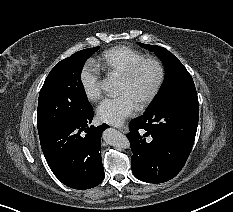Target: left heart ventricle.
Wrapping results in <instances>:
<instances>
[{"label": "left heart ventricle", "instance_id": "1", "mask_svg": "<svg viewBox=\"0 0 233 212\" xmlns=\"http://www.w3.org/2000/svg\"><path fill=\"white\" fill-rule=\"evenodd\" d=\"M158 75L157 67L153 63L145 64L131 82L120 80L119 94H128L137 105L150 93Z\"/></svg>", "mask_w": 233, "mask_h": 212}]
</instances>
